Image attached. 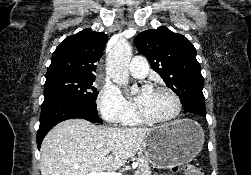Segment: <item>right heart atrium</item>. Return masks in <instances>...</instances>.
<instances>
[{
    "mask_svg": "<svg viewBox=\"0 0 251 175\" xmlns=\"http://www.w3.org/2000/svg\"><path fill=\"white\" fill-rule=\"evenodd\" d=\"M97 109L102 118L108 122L127 123L137 115L136 109L121 95L118 88L105 84L97 98Z\"/></svg>",
    "mask_w": 251,
    "mask_h": 175,
    "instance_id": "1",
    "label": "right heart atrium"
}]
</instances>
